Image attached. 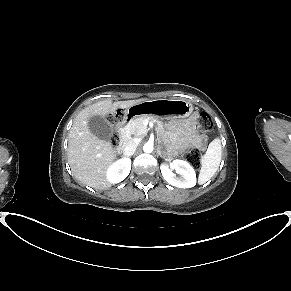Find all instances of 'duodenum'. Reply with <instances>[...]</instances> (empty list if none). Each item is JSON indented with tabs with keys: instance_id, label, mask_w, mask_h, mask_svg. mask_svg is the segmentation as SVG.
<instances>
[{
	"instance_id": "obj_1",
	"label": "duodenum",
	"mask_w": 291,
	"mask_h": 291,
	"mask_svg": "<svg viewBox=\"0 0 291 291\" xmlns=\"http://www.w3.org/2000/svg\"><path fill=\"white\" fill-rule=\"evenodd\" d=\"M143 112L139 109H131L130 112L126 115L125 119L123 120V122L121 123V125L119 126V134H120V138H121V144H125L128 141L129 135L128 132L124 129V127L130 123L134 117H136L137 115L142 114Z\"/></svg>"
}]
</instances>
